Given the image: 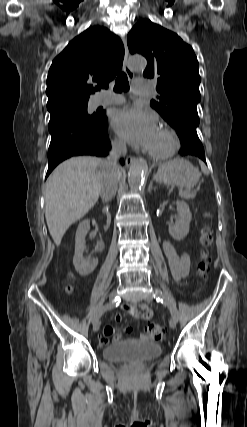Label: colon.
Listing matches in <instances>:
<instances>
[{
    "mask_svg": "<svg viewBox=\"0 0 247 427\" xmlns=\"http://www.w3.org/2000/svg\"><path fill=\"white\" fill-rule=\"evenodd\" d=\"M201 245L203 247L202 260L199 264V273L204 276L207 271L208 248L212 243V230L208 225H204L200 236ZM70 289V288H68ZM147 334L154 340H160L165 335V329L159 324H150L147 328Z\"/></svg>",
    "mask_w": 247,
    "mask_h": 427,
    "instance_id": "colon-1",
    "label": "colon"
}]
</instances>
